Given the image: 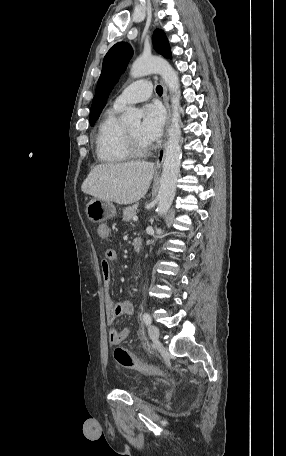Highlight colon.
Here are the masks:
<instances>
[{
	"instance_id": "1",
	"label": "colon",
	"mask_w": 286,
	"mask_h": 456,
	"mask_svg": "<svg viewBox=\"0 0 286 456\" xmlns=\"http://www.w3.org/2000/svg\"><path fill=\"white\" fill-rule=\"evenodd\" d=\"M114 358L117 361V363L122 367L136 370L145 375L159 377L166 376V372L163 369L141 361L124 348H116L114 350Z\"/></svg>"
}]
</instances>
